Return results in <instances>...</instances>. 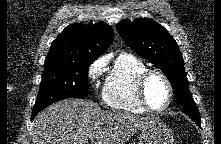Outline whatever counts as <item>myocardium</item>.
<instances>
[{"label":"myocardium","mask_w":221,"mask_h":144,"mask_svg":"<svg viewBox=\"0 0 221 144\" xmlns=\"http://www.w3.org/2000/svg\"><path fill=\"white\" fill-rule=\"evenodd\" d=\"M153 75H157V76L161 77L163 79V81L165 82L167 89H168V100L163 107L158 108V109L151 107L147 101V98H146V84H147L148 79ZM135 87H136V96H137L139 103L148 112H152V113L163 112L166 109H168V107L172 103L173 95H174L173 86H172L169 78L167 77V75L164 72H162L161 70H158V69L144 70L137 77Z\"/></svg>","instance_id":"myocardium-1"}]
</instances>
